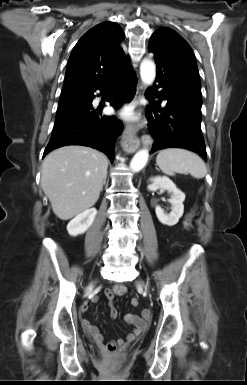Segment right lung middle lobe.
<instances>
[{
  "mask_svg": "<svg viewBox=\"0 0 247 385\" xmlns=\"http://www.w3.org/2000/svg\"><path fill=\"white\" fill-rule=\"evenodd\" d=\"M89 93L90 91L84 90H68L61 92V96L58 103V109L65 107L79 99L87 97Z\"/></svg>",
  "mask_w": 247,
  "mask_h": 385,
  "instance_id": "obj_1",
  "label": "right lung middle lobe"
}]
</instances>
